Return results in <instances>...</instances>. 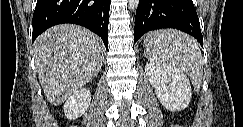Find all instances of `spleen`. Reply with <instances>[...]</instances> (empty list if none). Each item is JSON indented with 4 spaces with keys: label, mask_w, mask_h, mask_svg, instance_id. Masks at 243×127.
Instances as JSON below:
<instances>
[{
    "label": "spleen",
    "mask_w": 243,
    "mask_h": 127,
    "mask_svg": "<svg viewBox=\"0 0 243 127\" xmlns=\"http://www.w3.org/2000/svg\"><path fill=\"white\" fill-rule=\"evenodd\" d=\"M146 56L151 63L163 68L185 71L199 90L203 78V59L197 42L177 30L150 33L144 39Z\"/></svg>",
    "instance_id": "obj_1"
}]
</instances>
